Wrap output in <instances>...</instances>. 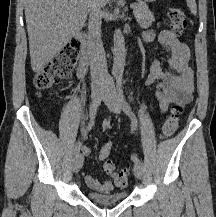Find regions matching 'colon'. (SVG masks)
Wrapping results in <instances>:
<instances>
[{"label":"colon","instance_id":"colon-1","mask_svg":"<svg viewBox=\"0 0 216 217\" xmlns=\"http://www.w3.org/2000/svg\"><path fill=\"white\" fill-rule=\"evenodd\" d=\"M168 20L172 32L181 36L186 30V16L182 9L174 7L168 12ZM81 50V45L77 40L69 41L64 48L55 55L36 75L34 85L38 91H45L61 80L69 78L76 66L77 57ZM182 112L180 105L176 104L172 107L171 113L162 125L161 137H170L177 129L179 117ZM112 120L105 119L102 123V129L109 131L112 128ZM104 171L113 175L114 182L118 186L127 184L128 171L121 169L114 170L111 160H107L103 165Z\"/></svg>","mask_w":216,"mask_h":217}]
</instances>
